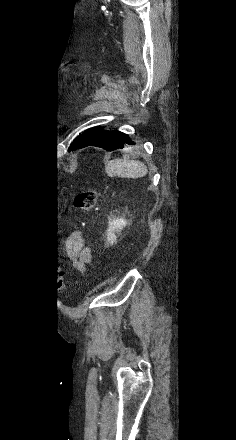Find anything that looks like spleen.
<instances>
[{
  "label": "spleen",
  "instance_id": "spleen-1",
  "mask_svg": "<svg viewBox=\"0 0 236 440\" xmlns=\"http://www.w3.org/2000/svg\"><path fill=\"white\" fill-rule=\"evenodd\" d=\"M106 173L111 177L139 178L144 177L148 173V170L146 165L141 161L116 159L107 164Z\"/></svg>",
  "mask_w": 236,
  "mask_h": 440
}]
</instances>
